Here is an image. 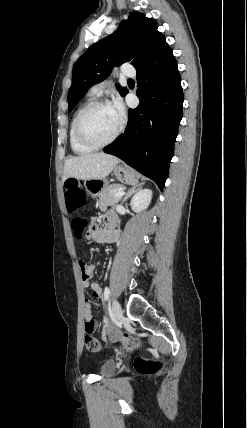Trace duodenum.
Wrapping results in <instances>:
<instances>
[{"label":"duodenum","instance_id":"1","mask_svg":"<svg viewBox=\"0 0 247 428\" xmlns=\"http://www.w3.org/2000/svg\"><path fill=\"white\" fill-rule=\"evenodd\" d=\"M105 226H106V228H108V227L110 226V223H109V222H107V223L105 224Z\"/></svg>","mask_w":247,"mask_h":428}]
</instances>
